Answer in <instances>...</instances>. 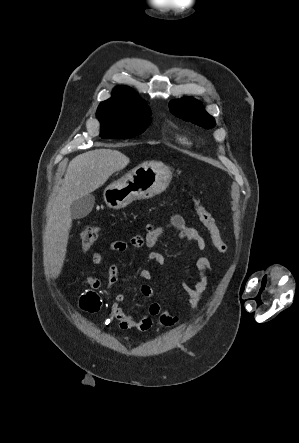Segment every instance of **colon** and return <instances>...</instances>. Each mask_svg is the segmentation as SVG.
<instances>
[{
  "label": "colon",
  "instance_id": "5ec220e1",
  "mask_svg": "<svg viewBox=\"0 0 299 443\" xmlns=\"http://www.w3.org/2000/svg\"><path fill=\"white\" fill-rule=\"evenodd\" d=\"M195 210L200 222L209 232L213 245L218 251L225 253L227 251V246L221 236L216 219L212 213L197 200L195 201ZM99 233L100 229L95 225L88 226L81 232V246L83 251H88L93 247L99 237Z\"/></svg>",
  "mask_w": 299,
  "mask_h": 443
}]
</instances>
